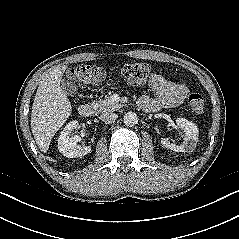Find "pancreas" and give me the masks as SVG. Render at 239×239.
Listing matches in <instances>:
<instances>
[{"mask_svg": "<svg viewBox=\"0 0 239 239\" xmlns=\"http://www.w3.org/2000/svg\"><path fill=\"white\" fill-rule=\"evenodd\" d=\"M92 105L98 112H112L122 107L120 103L113 101L111 96H106L104 100H100Z\"/></svg>", "mask_w": 239, "mask_h": 239, "instance_id": "obj_1", "label": "pancreas"}]
</instances>
